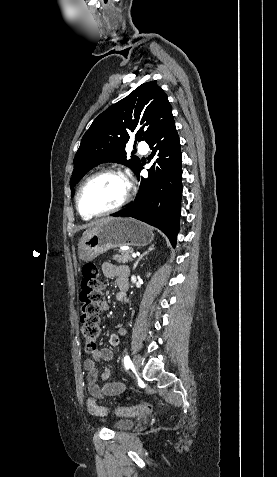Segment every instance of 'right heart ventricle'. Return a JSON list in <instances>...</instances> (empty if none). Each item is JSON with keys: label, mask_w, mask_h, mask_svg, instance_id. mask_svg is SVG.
<instances>
[{"label": "right heart ventricle", "mask_w": 277, "mask_h": 477, "mask_svg": "<svg viewBox=\"0 0 277 477\" xmlns=\"http://www.w3.org/2000/svg\"><path fill=\"white\" fill-rule=\"evenodd\" d=\"M84 219H89V217H83Z\"/></svg>", "instance_id": "1"}]
</instances>
